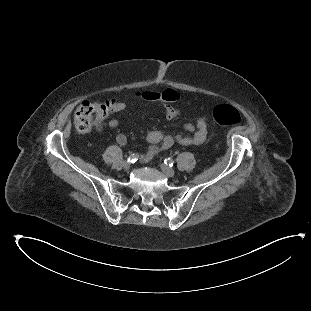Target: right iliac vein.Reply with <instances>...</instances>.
Instances as JSON below:
<instances>
[{"instance_id": "obj_1", "label": "right iliac vein", "mask_w": 311, "mask_h": 311, "mask_svg": "<svg viewBox=\"0 0 311 311\" xmlns=\"http://www.w3.org/2000/svg\"><path fill=\"white\" fill-rule=\"evenodd\" d=\"M130 167H131V163L130 162H128V161L123 162V169L125 171H128L130 169Z\"/></svg>"}]
</instances>
